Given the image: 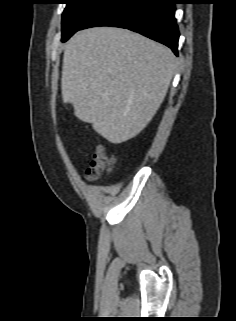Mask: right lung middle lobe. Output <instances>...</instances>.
<instances>
[{
    "label": "right lung middle lobe",
    "instance_id": "1",
    "mask_svg": "<svg viewBox=\"0 0 236 321\" xmlns=\"http://www.w3.org/2000/svg\"><path fill=\"white\" fill-rule=\"evenodd\" d=\"M62 42L67 41L108 0H64Z\"/></svg>",
    "mask_w": 236,
    "mask_h": 321
}]
</instances>
